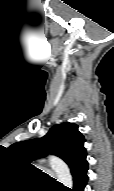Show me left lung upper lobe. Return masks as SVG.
<instances>
[{
  "label": "left lung upper lobe",
  "instance_id": "obj_1",
  "mask_svg": "<svg viewBox=\"0 0 114 191\" xmlns=\"http://www.w3.org/2000/svg\"><path fill=\"white\" fill-rule=\"evenodd\" d=\"M84 142L85 138L79 132L78 125L66 122L53 126L41 138L17 142L8 149L14 157L26 164L54 154L63 159L73 173L86 161Z\"/></svg>",
  "mask_w": 114,
  "mask_h": 191
}]
</instances>
